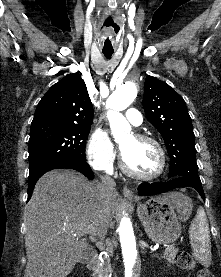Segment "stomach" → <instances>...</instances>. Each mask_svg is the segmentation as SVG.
<instances>
[{
	"instance_id": "obj_1",
	"label": "stomach",
	"mask_w": 221,
	"mask_h": 277,
	"mask_svg": "<svg viewBox=\"0 0 221 277\" xmlns=\"http://www.w3.org/2000/svg\"><path fill=\"white\" fill-rule=\"evenodd\" d=\"M192 203L183 198L178 206L166 201L163 196L152 197L137 203L138 217L153 242L169 244L181 234V221L187 220Z\"/></svg>"
}]
</instances>
